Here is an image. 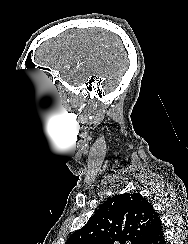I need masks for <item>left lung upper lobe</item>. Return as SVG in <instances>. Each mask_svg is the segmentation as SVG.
<instances>
[{"label":"left lung upper lobe","instance_id":"1","mask_svg":"<svg viewBox=\"0 0 188 244\" xmlns=\"http://www.w3.org/2000/svg\"><path fill=\"white\" fill-rule=\"evenodd\" d=\"M156 215L152 204L139 193L116 195L107 199L66 244H145Z\"/></svg>","mask_w":188,"mask_h":244}]
</instances>
